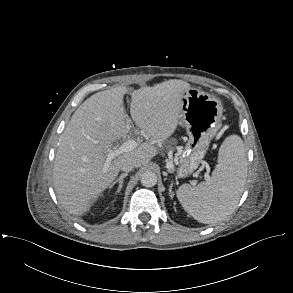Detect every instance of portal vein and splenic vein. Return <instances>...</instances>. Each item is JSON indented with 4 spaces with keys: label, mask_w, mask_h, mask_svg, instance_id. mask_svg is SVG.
Returning a JSON list of instances; mask_svg holds the SVG:
<instances>
[{
    "label": "portal vein and splenic vein",
    "mask_w": 293,
    "mask_h": 293,
    "mask_svg": "<svg viewBox=\"0 0 293 293\" xmlns=\"http://www.w3.org/2000/svg\"><path fill=\"white\" fill-rule=\"evenodd\" d=\"M137 145H138L137 142L133 138H130L126 142H124L122 145H120L119 147L107 150V158H106V162H105L103 170L104 171L107 170L111 161L115 157L135 149L137 147ZM204 178H205V180H209L210 179L209 174L206 173Z\"/></svg>",
    "instance_id": "18ae733b"
}]
</instances>
